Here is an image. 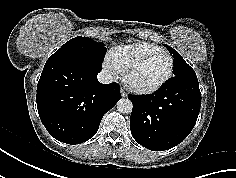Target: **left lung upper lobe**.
<instances>
[{
  "label": "left lung upper lobe",
  "instance_id": "left-lung-upper-lobe-1",
  "mask_svg": "<svg viewBox=\"0 0 236 178\" xmlns=\"http://www.w3.org/2000/svg\"><path fill=\"white\" fill-rule=\"evenodd\" d=\"M168 48L169 52L173 55L174 57V77L178 78H197L194 70L192 67H190L185 60L182 58V56L174 50L172 47L166 45Z\"/></svg>",
  "mask_w": 236,
  "mask_h": 178
}]
</instances>
